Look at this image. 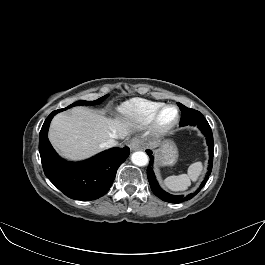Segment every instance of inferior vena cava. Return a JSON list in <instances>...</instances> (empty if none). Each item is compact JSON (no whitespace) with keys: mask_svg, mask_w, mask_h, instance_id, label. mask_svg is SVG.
Masks as SVG:
<instances>
[{"mask_svg":"<svg viewBox=\"0 0 265 265\" xmlns=\"http://www.w3.org/2000/svg\"><path fill=\"white\" fill-rule=\"evenodd\" d=\"M118 144V142L115 139H108L106 142H104L101 146L103 148H110V147H114Z\"/></svg>","mask_w":265,"mask_h":265,"instance_id":"1","label":"inferior vena cava"}]
</instances>
